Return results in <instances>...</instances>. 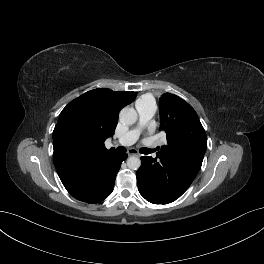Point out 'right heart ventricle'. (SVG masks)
Masks as SVG:
<instances>
[{
    "label": "right heart ventricle",
    "mask_w": 264,
    "mask_h": 264,
    "mask_svg": "<svg viewBox=\"0 0 264 264\" xmlns=\"http://www.w3.org/2000/svg\"><path fill=\"white\" fill-rule=\"evenodd\" d=\"M144 103L155 105V100H154L152 95L146 94V95H143L141 98L138 99L136 105L137 104H144Z\"/></svg>",
    "instance_id": "right-heart-ventricle-1"
}]
</instances>
